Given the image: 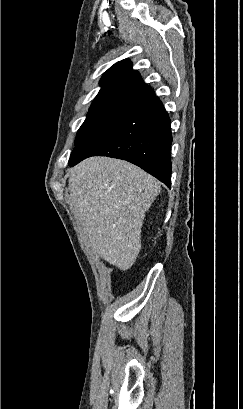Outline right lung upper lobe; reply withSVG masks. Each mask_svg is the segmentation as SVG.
<instances>
[{
  "label": "right lung upper lobe",
  "mask_w": 243,
  "mask_h": 409,
  "mask_svg": "<svg viewBox=\"0 0 243 409\" xmlns=\"http://www.w3.org/2000/svg\"><path fill=\"white\" fill-rule=\"evenodd\" d=\"M128 59L111 66L100 80L101 90L94 101L118 100L124 101L143 90L146 84L140 74L132 70Z\"/></svg>",
  "instance_id": "cb5924a9"
}]
</instances>
